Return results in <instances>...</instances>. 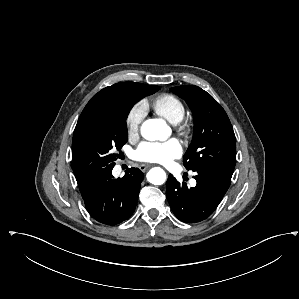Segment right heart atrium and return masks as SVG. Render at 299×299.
Masks as SVG:
<instances>
[{
	"label": "right heart atrium",
	"instance_id": "1",
	"mask_svg": "<svg viewBox=\"0 0 299 299\" xmlns=\"http://www.w3.org/2000/svg\"><path fill=\"white\" fill-rule=\"evenodd\" d=\"M146 115V105L144 102H137L131 106L125 117V124L129 136L138 133L139 127Z\"/></svg>",
	"mask_w": 299,
	"mask_h": 299
}]
</instances>
